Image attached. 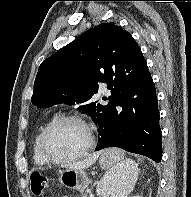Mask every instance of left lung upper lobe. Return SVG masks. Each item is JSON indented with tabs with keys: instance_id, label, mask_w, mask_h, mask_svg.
Segmentation results:
<instances>
[{
	"instance_id": "obj_1",
	"label": "left lung upper lobe",
	"mask_w": 191,
	"mask_h": 197,
	"mask_svg": "<svg viewBox=\"0 0 191 197\" xmlns=\"http://www.w3.org/2000/svg\"><path fill=\"white\" fill-rule=\"evenodd\" d=\"M145 67L147 63L131 34L115 23H102L42 62L31 101L43 108L81 104L78 109L94 119L103 108L91 102L98 83L105 82L112 89L115 77Z\"/></svg>"
}]
</instances>
